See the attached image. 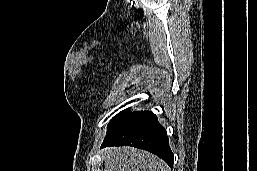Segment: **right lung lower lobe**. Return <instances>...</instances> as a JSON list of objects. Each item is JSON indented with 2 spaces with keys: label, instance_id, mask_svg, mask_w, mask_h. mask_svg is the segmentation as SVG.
<instances>
[{
  "label": "right lung lower lobe",
  "instance_id": "98d812e1",
  "mask_svg": "<svg viewBox=\"0 0 257 171\" xmlns=\"http://www.w3.org/2000/svg\"><path fill=\"white\" fill-rule=\"evenodd\" d=\"M124 145L150 151L170 167L173 165L174 157L166 130L151 111L130 113L126 109L109 122L101 148Z\"/></svg>",
  "mask_w": 257,
  "mask_h": 171
}]
</instances>
